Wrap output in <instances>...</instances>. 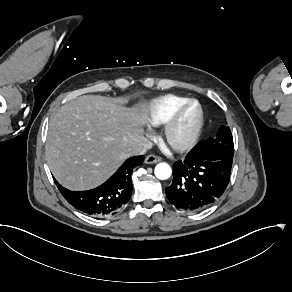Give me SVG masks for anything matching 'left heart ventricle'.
I'll use <instances>...</instances> for the list:
<instances>
[{
	"mask_svg": "<svg viewBox=\"0 0 292 292\" xmlns=\"http://www.w3.org/2000/svg\"><path fill=\"white\" fill-rule=\"evenodd\" d=\"M196 108L191 106L182 116L174 130L175 138H182L189 130L195 115Z\"/></svg>",
	"mask_w": 292,
	"mask_h": 292,
	"instance_id": "obj_1",
	"label": "left heart ventricle"
}]
</instances>
